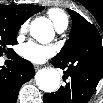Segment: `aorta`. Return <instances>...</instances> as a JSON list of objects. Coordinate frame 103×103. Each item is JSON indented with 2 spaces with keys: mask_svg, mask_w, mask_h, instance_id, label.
<instances>
[{
  "mask_svg": "<svg viewBox=\"0 0 103 103\" xmlns=\"http://www.w3.org/2000/svg\"><path fill=\"white\" fill-rule=\"evenodd\" d=\"M45 30L51 31V23L46 18H37L30 26V32L35 38L41 37ZM35 80L37 86L48 93L56 91L60 85V75L53 68L39 70L35 75Z\"/></svg>",
  "mask_w": 103,
  "mask_h": 103,
  "instance_id": "obj_1",
  "label": "aorta"
}]
</instances>
